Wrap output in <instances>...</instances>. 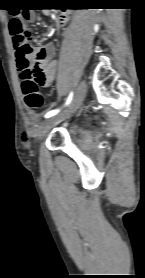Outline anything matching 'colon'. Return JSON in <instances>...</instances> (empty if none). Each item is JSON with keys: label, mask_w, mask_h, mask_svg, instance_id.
Here are the masks:
<instances>
[{"label": "colon", "mask_w": 145, "mask_h": 278, "mask_svg": "<svg viewBox=\"0 0 145 278\" xmlns=\"http://www.w3.org/2000/svg\"><path fill=\"white\" fill-rule=\"evenodd\" d=\"M31 17L29 10H16L13 13L9 24V31L17 45V54H32L31 47L27 44L26 23ZM45 80V73L39 64L28 70L23 75L22 92L28 107L32 109L40 108L43 104V96L40 86Z\"/></svg>", "instance_id": "5ec220e1"}]
</instances>
